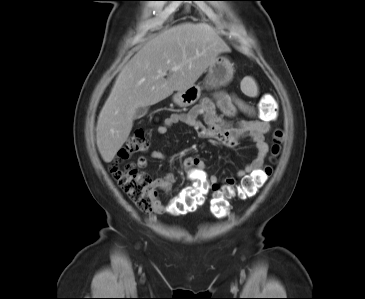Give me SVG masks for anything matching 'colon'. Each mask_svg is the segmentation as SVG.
<instances>
[{"mask_svg": "<svg viewBox=\"0 0 365 299\" xmlns=\"http://www.w3.org/2000/svg\"><path fill=\"white\" fill-rule=\"evenodd\" d=\"M260 115L265 119H272L274 108L270 104L261 106ZM281 136L276 135L272 145L271 153L276 156L280 150ZM149 142L143 129L133 132L125 145L119 149L116 155V163L111 167V174L119 188L126 193L128 198L142 211L153 210L156 195L148 177L141 173L134 163H125L132 154L144 152L148 149ZM272 170L266 167L244 177L240 184L234 186L229 184L223 189L215 186L214 196L211 202V213L218 218L224 217L228 212V199L238 197L247 199L253 197L270 177ZM210 190V186L204 182H196L187 186L170 203V212L175 215L185 214L195 211L201 206Z\"/></svg>", "mask_w": 365, "mask_h": 299, "instance_id": "colon-1", "label": "colon"}]
</instances>
